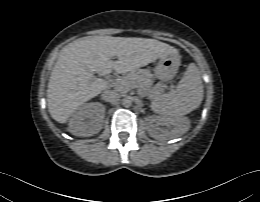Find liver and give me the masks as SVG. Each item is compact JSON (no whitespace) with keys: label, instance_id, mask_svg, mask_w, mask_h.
I'll use <instances>...</instances> for the list:
<instances>
[{"label":"liver","instance_id":"obj_1","mask_svg":"<svg viewBox=\"0 0 260 202\" xmlns=\"http://www.w3.org/2000/svg\"><path fill=\"white\" fill-rule=\"evenodd\" d=\"M176 49L155 39L88 36L66 45L52 70L47 90L51 117L66 123L83 103L108 87L94 72L109 74L112 69L124 74L152 63ZM117 56L118 60L112 61Z\"/></svg>","mask_w":260,"mask_h":202}]
</instances>
